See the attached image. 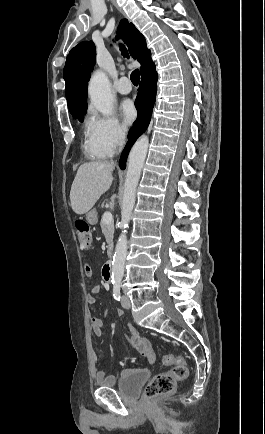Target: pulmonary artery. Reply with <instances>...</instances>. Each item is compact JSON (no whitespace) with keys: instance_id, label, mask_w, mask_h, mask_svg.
I'll return each instance as SVG.
<instances>
[{"instance_id":"e3ab8cb5","label":"pulmonary artery","mask_w":265,"mask_h":434,"mask_svg":"<svg viewBox=\"0 0 265 434\" xmlns=\"http://www.w3.org/2000/svg\"><path fill=\"white\" fill-rule=\"evenodd\" d=\"M128 78L126 76L121 77L120 81H117L116 89L121 94H128L131 91L130 81H125Z\"/></svg>"}]
</instances>
